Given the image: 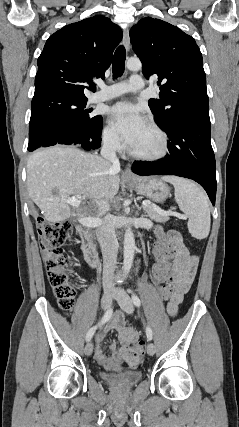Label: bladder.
Returning <instances> with one entry per match:
<instances>
[{
	"label": "bladder",
	"mask_w": 239,
	"mask_h": 427,
	"mask_svg": "<svg viewBox=\"0 0 239 427\" xmlns=\"http://www.w3.org/2000/svg\"><path fill=\"white\" fill-rule=\"evenodd\" d=\"M100 376L107 384L118 388H129L141 380L142 372L139 370H119L112 373L102 372Z\"/></svg>",
	"instance_id": "bladder-1"
}]
</instances>
